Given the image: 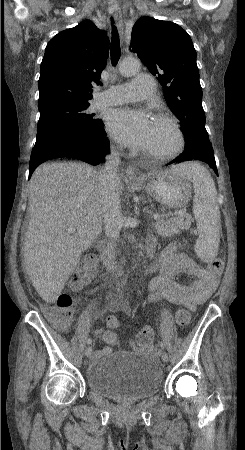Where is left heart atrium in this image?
Listing matches in <instances>:
<instances>
[{
  "label": "left heart atrium",
  "mask_w": 245,
  "mask_h": 450,
  "mask_svg": "<svg viewBox=\"0 0 245 450\" xmlns=\"http://www.w3.org/2000/svg\"><path fill=\"white\" fill-rule=\"evenodd\" d=\"M152 126L153 121L146 111L130 107L112 110L107 119V127L111 135L132 149L146 147Z\"/></svg>",
  "instance_id": "obj_1"
}]
</instances>
